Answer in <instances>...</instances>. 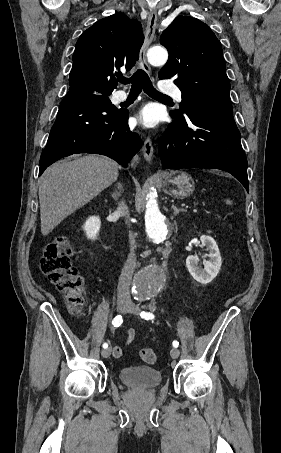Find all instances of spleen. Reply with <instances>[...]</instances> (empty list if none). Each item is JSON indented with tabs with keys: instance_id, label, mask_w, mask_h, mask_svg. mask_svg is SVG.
Returning a JSON list of instances; mask_svg holds the SVG:
<instances>
[{
	"instance_id": "spleen-1",
	"label": "spleen",
	"mask_w": 281,
	"mask_h": 453,
	"mask_svg": "<svg viewBox=\"0 0 281 453\" xmlns=\"http://www.w3.org/2000/svg\"><path fill=\"white\" fill-rule=\"evenodd\" d=\"M226 204H232V200H226Z\"/></svg>"
}]
</instances>
